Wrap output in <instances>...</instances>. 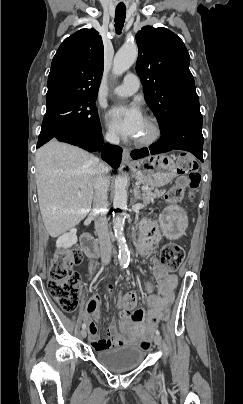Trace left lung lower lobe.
<instances>
[{"label":"left lung lower lobe","instance_id":"0a47b994","mask_svg":"<svg viewBox=\"0 0 243 404\" xmlns=\"http://www.w3.org/2000/svg\"><path fill=\"white\" fill-rule=\"evenodd\" d=\"M162 131L159 142L149 148L133 150L131 157L140 159L148 155L167 152L173 149L185 150L203 162L202 115L182 114L168 122Z\"/></svg>","mask_w":243,"mask_h":404}]
</instances>
